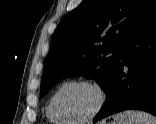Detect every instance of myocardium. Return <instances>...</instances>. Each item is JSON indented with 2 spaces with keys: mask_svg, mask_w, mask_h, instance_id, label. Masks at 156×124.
Instances as JSON below:
<instances>
[{
  "mask_svg": "<svg viewBox=\"0 0 156 124\" xmlns=\"http://www.w3.org/2000/svg\"><path fill=\"white\" fill-rule=\"evenodd\" d=\"M77 85H83V86H88V87L92 88L97 93L98 102H97V105L94 108V110L89 115H87L83 118H80V119H68V118L64 117L57 110V99L64 89H66L70 86H77ZM106 100H107L106 92H105L104 88L102 87V85L100 83H98L97 81L89 80V79H74V80H71V81H68V82H65L64 84H62L57 89V91L54 93V95L52 96V99H51V110L57 118L61 119L65 123L81 124V123H86V122L93 120L104 108V106L106 104Z\"/></svg>",
  "mask_w": 156,
  "mask_h": 124,
  "instance_id": "obj_1",
  "label": "myocardium"
}]
</instances>
